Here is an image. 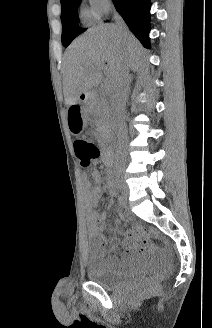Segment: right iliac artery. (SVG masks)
Instances as JSON below:
<instances>
[{
    "label": "right iliac artery",
    "mask_w": 212,
    "mask_h": 328,
    "mask_svg": "<svg viewBox=\"0 0 212 328\" xmlns=\"http://www.w3.org/2000/svg\"><path fill=\"white\" fill-rule=\"evenodd\" d=\"M118 201H119V204L120 205H124L125 204V201H124L123 197H121V196L118 198Z\"/></svg>",
    "instance_id": "right-iliac-artery-1"
}]
</instances>
